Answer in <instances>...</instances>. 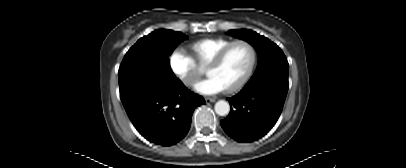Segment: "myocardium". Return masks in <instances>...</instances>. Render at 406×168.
<instances>
[{"mask_svg": "<svg viewBox=\"0 0 406 168\" xmlns=\"http://www.w3.org/2000/svg\"><path fill=\"white\" fill-rule=\"evenodd\" d=\"M237 44H246L251 51V61L250 64L246 70V72L244 73V75L242 76V78L234 85L224 89L226 93H233L236 92L238 90H240L250 79L256 62H257V49L254 46L253 43H251L250 41L246 40V39H237V40H233L232 42H230L229 44H227L226 46H224L222 49H220L214 56L213 58L207 63L206 68H205V72L207 73V71L209 69H212L214 67H217L222 60L224 59L225 55L227 54V52L235 45ZM208 74V73H207Z\"/></svg>", "mask_w": 406, "mask_h": 168, "instance_id": "1", "label": "myocardium"}]
</instances>
